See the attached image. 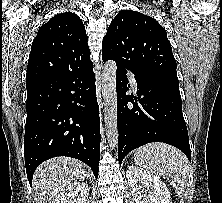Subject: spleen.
<instances>
[{"label":"spleen","mask_w":222,"mask_h":203,"mask_svg":"<svg viewBox=\"0 0 222 203\" xmlns=\"http://www.w3.org/2000/svg\"><path fill=\"white\" fill-rule=\"evenodd\" d=\"M134 161L151 173L167 179L179 195L184 193L190 167L187 157L177 148L165 143H149L136 149Z\"/></svg>","instance_id":"3e777b00"}]
</instances>
